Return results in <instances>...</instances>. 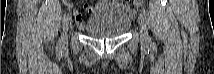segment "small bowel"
<instances>
[{"label": "small bowel", "instance_id": "c3829d8e", "mask_svg": "<svg viewBox=\"0 0 214 74\" xmlns=\"http://www.w3.org/2000/svg\"><path fill=\"white\" fill-rule=\"evenodd\" d=\"M69 7L71 6L69 5ZM110 7H113V8L123 7L125 11L130 15V17H133L136 14V10L131 8L129 4L122 5L121 2L119 1H99L96 7H92L88 4H83L81 8H77L73 11L78 28L80 30H84V26H85L84 16H83L84 10L87 11L89 14H93L100 10H105Z\"/></svg>", "mask_w": 214, "mask_h": 74}]
</instances>
